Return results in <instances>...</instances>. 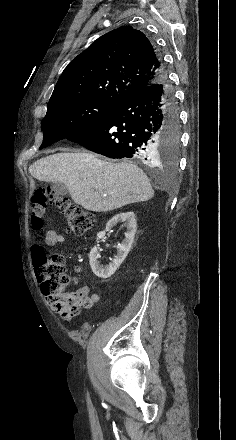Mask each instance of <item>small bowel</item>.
Wrapping results in <instances>:
<instances>
[{
    "label": "small bowel",
    "mask_w": 236,
    "mask_h": 440,
    "mask_svg": "<svg viewBox=\"0 0 236 440\" xmlns=\"http://www.w3.org/2000/svg\"><path fill=\"white\" fill-rule=\"evenodd\" d=\"M64 241H65V237L61 234H58L54 230H49L45 234L44 244L46 246L49 247L56 246L57 244H61ZM31 254H32V260L34 266L37 267L38 262L41 260L42 255L44 254L42 247L34 246ZM70 296L74 299H77L80 302V306L73 315V317L79 315L81 309H90L99 301V295L97 293H91L90 288L88 286H83L78 290L70 293ZM46 299L49 302L52 310L61 314L60 311L57 309V307L49 300L47 296Z\"/></svg>",
    "instance_id": "1"
}]
</instances>
